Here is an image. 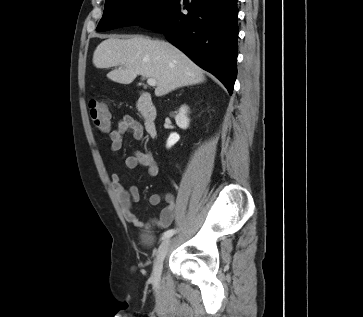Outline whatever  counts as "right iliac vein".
Returning a JSON list of instances; mask_svg holds the SVG:
<instances>
[{
    "label": "right iliac vein",
    "mask_w": 363,
    "mask_h": 317,
    "mask_svg": "<svg viewBox=\"0 0 363 317\" xmlns=\"http://www.w3.org/2000/svg\"><path fill=\"white\" fill-rule=\"evenodd\" d=\"M172 240L167 238L165 239L158 248L157 255L154 260L153 270L151 274V282L154 287L159 285L163 267V261L169 251Z\"/></svg>",
    "instance_id": "obj_1"
}]
</instances>
